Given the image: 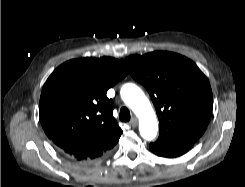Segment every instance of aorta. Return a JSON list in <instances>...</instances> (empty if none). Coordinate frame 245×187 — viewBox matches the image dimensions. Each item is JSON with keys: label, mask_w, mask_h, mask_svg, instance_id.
<instances>
[{"label": "aorta", "mask_w": 245, "mask_h": 187, "mask_svg": "<svg viewBox=\"0 0 245 187\" xmlns=\"http://www.w3.org/2000/svg\"><path fill=\"white\" fill-rule=\"evenodd\" d=\"M121 98L139 118V131L148 141L153 140L158 131L155 112L143 91L135 84L127 83L122 86Z\"/></svg>", "instance_id": "762f6f07"}]
</instances>
